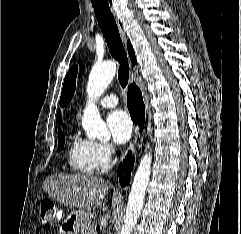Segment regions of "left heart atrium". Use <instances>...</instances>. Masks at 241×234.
Segmentation results:
<instances>
[{"label": "left heart atrium", "instance_id": "1", "mask_svg": "<svg viewBox=\"0 0 241 234\" xmlns=\"http://www.w3.org/2000/svg\"><path fill=\"white\" fill-rule=\"evenodd\" d=\"M107 125L113 140L117 144L126 143L133 132V124L129 115L123 110H115L107 117Z\"/></svg>", "mask_w": 241, "mask_h": 234}]
</instances>
